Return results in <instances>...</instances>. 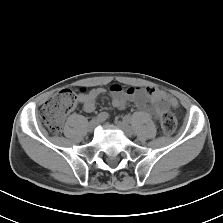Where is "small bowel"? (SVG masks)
Listing matches in <instances>:
<instances>
[{
  "mask_svg": "<svg viewBox=\"0 0 223 223\" xmlns=\"http://www.w3.org/2000/svg\"><path fill=\"white\" fill-rule=\"evenodd\" d=\"M106 92L104 88H93L88 92H81L77 100L82 104L83 110L93 112L96 100ZM112 105L124 110L129 101H133L140 109L148 108L156 117H159L167 108H177L178 103L168 93L154 88L129 87L123 88L113 85L109 88Z\"/></svg>",
  "mask_w": 223,
  "mask_h": 223,
  "instance_id": "small-bowel-1",
  "label": "small bowel"
}]
</instances>
